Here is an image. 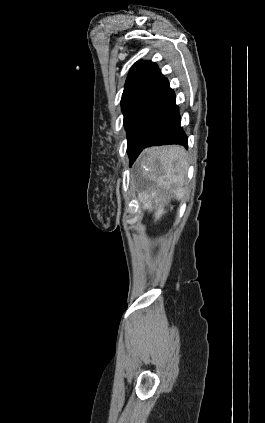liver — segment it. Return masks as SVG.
I'll return each instance as SVG.
<instances>
[{
    "instance_id": "6515ba94",
    "label": "liver",
    "mask_w": 265,
    "mask_h": 423,
    "mask_svg": "<svg viewBox=\"0 0 265 423\" xmlns=\"http://www.w3.org/2000/svg\"><path fill=\"white\" fill-rule=\"evenodd\" d=\"M138 165L157 182L156 190L138 194L142 209L149 212L155 209L154 221H157L165 213L164 207L170 195L176 199L183 196V184L188 170L187 152L179 145L152 147L143 151Z\"/></svg>"
}]
</instances>
